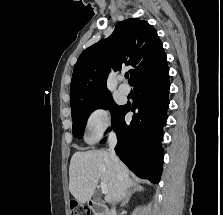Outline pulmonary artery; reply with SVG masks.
I'll return each instance as SVG.
<instances>
[{"mask_svg":"<svg viewBox=\"0 0 223 215\" xmlns=\"http://www.w3.org/2000/svg\"><path fill=\"white\" fill-rule=\"evenodd\" d=\"M121 80H123V77H121ZM118 89H119V92L124 95H127L130 90L129 86L125 83L120 84Z\"/></svg>","mask_w":223,"mask_h":215,"instance_id":"obj_1","label":"pulmonary artery"}]
</instances>
